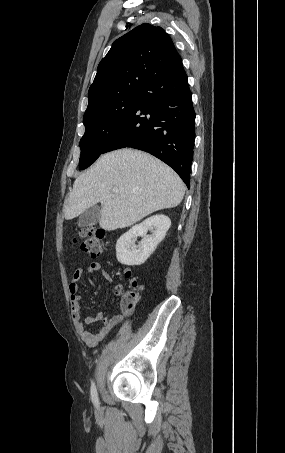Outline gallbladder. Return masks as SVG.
Segmentation results:
<instances>
[{
	"instance_id": "obj_1",
	"label": "gallbladder",
	"mask_w": 285,
	"mask_h": 453,
	"mask_svg": "<svg viewBox=\"0 0 285 453\" xmlns=\"http://www.w3.org/2000/svg\"><path fill=\"white\" fill-rule=\"evenodd\" d=\"M100 215V207L94 205L80 215L78 219V226L83 228L92 224H96L100 219Z\"/></svg>"
}]
</instances>
